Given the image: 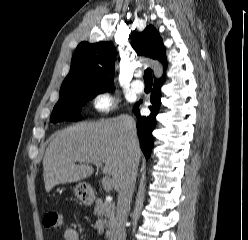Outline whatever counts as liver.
Listing matches in <instances>:
<instances>
[{"instance_id":"liver-1","label":"liver","mask_w":248,"mask_h":240,"mask_svg":"<svg viewBox=\"0 0 248 240\" xmlns=\"http://www.w3.org/2000/svg\"><path fill=\"white\" fill-rule=\"evenodd\" d=\"M132 123L135 124L131 117L123 115L93 123H79L55 133L43 159L46 192L58 184L77 182L91 176L94 169L84 161L86 159L103 162V173L112 176L117 190L130 155L128 132ZM132 151L139 164L141 151L138 140Z\"/></svg>"}]
</instances>
